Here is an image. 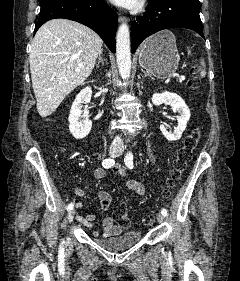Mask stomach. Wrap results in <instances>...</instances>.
<instances>
[{
	"label": "stomach",
	"instance_id": "1",
	"mask_svg": "<svg viewBox=\"0 0 240 281\" xmlns=\"http://www.w3.org/2000/svg\"><path fill=\"white\" fill-rule=\"evenodd\" d=\"M138 60L142 68L157 78L170 77L180 60L173 33L165 30L148 38L138 51Z\"/></svg>",
	"mask_w": 240,
	"mask_h": 281
}]
</instances>
